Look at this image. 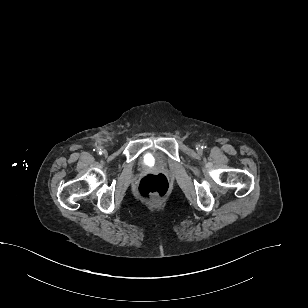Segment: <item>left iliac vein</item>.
<instances>
[{
  "label": "left iliac vein",
  "instance_id": "obj_1",
  "mask_svg": "<svg viewBox=\"0 0 308 308\" xmlns=\"http://www.w3.org/2000/svg\"><path fill=\"white\" fill-rule=\"evenodd\" d=\"M197 150L201 151L200 145H197Z\"/></svg>",
  "mask_w": 308,
  "mask_h": 308
}]
</instances>
